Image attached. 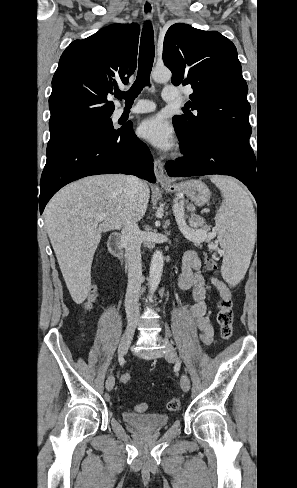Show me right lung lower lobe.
I'll return each mask as SVG.
<instances>
[{"instance_id":"98d812e1","label":"right lung lower lobe","mask_w":297,"mask_h":488,"mask_svg":"<svg viewBox=\"0 0 297 488\" xmlns=\"http://www.w3.org/2000/svg\"><path fill=\"white\" fill-rule=\"evenodd\" d=\"M152 162L148 147L136 137L132 127L69 141L47 156L38 196L40 213L60 188L82 177L124 173L154 183Z\"/></svg>"}]
</instances>
